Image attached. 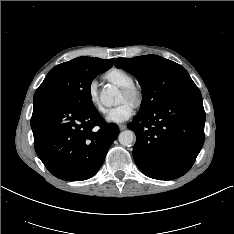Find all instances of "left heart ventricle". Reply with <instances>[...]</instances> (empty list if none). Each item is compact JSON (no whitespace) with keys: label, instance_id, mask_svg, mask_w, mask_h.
Segmentation results:
<instances>
[{"label":"left heart ventricle","instance_id":"obj_1","mask_svg":"<svg viewBox=\"0 0 234 234\" xmlns=\"http://www.w3.org/2000/svg\"><path fill=\"white\" fill-rule=\"evenodd\" d=\"M123 101H126L123 94L121 93L120 94V98H119V102H123Z\"/></svg>","mask_w":234,"mask_h":234}]
</instances>
